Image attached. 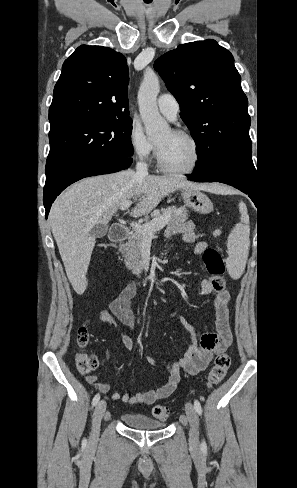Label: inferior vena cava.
I'll return each instance as SVG.
<instances>
[{
    "label": "inferior vena cava",
    "instance_id": "602c4592",
    "mask_svg": "<svg viewBox=\"0 0 297 488\" xmlns=\"http://www.w3.org/2000/svg\"><path fill=\"white\" fill-rule=\"evenodd\" d=\"M136 173L141 177L147 176L148 175V165L143 161H139L136 164Z\"/></svg>",
    "mask_w": 297,
    "mask_h": 488
}]
</instances>
